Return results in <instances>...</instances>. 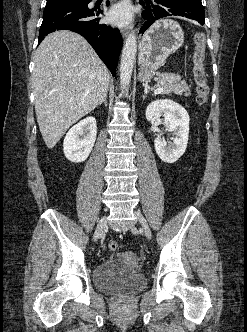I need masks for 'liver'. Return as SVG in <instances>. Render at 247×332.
Wrapping results in <instances>:
<instances>
[{
	"label": "liver",
	"instance_id": "1",
	"mask_svg": "<svg viewBox=\"0 0 247 332\" xmlns=\"http://www.w3.org/2000/svg\"><path fill=\"white\" fill-rule=\"evenodd\" d=\"M109 80L107 67L82 36L64 30L42 41L35 51L32 83L37 122L49 149L102 102Z\"/></svg>",
	"mask_w": 247,
	"mask_h": 332
}]
</instances>
